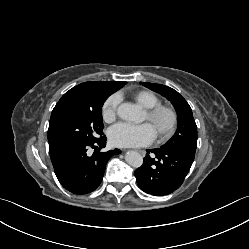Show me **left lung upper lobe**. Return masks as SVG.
I'll list each match as a JSON object with an SVG mask.
<instances>
[{"label":"left lung upper lobe","instance_id":"5c2ea615","mask_svg":"<svg viewBox=\"0 0 249 249\" xmlns=\"http://www.w3.org/2000/svg\"><path fill=\"white\" fill-rule=\"evenodd\" d=\"M141 84L166 97L177 111L178 128L174 136L161 148L195 152L197 147V126L192 110L186 100L174 89L162 84L141 82Z\"/></svg>","mask_w":249,"mask_h":249}]
</instances>
